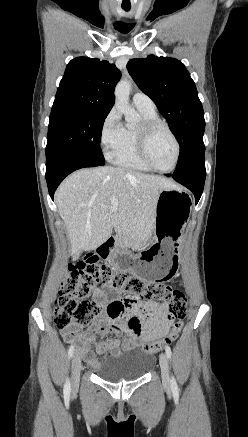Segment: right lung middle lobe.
<instances>
[{"mask_svg": "<svg viewBox=\"0 0 248 437\" xmlns=\"http://www.w3.org/2000/svg\"><path fill=\"white\" fill-rule=\"evenodd\" d=\"M107 115L73 106L53 105L46 156L60 151H76L104 161L100 139Z\"/></svg>", "mask_w": 248, "mask_h": 437, "instance_id": "dd1d6c3e", "label": "right lung middle lobe"}]
</instances>
